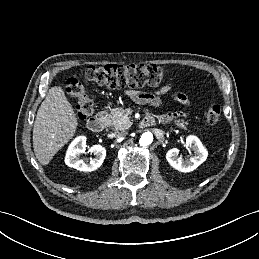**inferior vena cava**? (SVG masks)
<instances>
[{
  "label": "inferior vena cava",
  "mask_w": 259,
  "mask_h": 259,
  "mask_svg": "<svg viewBox=\"0 0 259 259\" xmlns=\"http://www.w3.org/2000/svg\"><path fill=\"white\" fill-rule=\"evenodd\" d=\"M127 134H128V132L125 131L124 129H119L114 132V136L116 138H123V137L127 136Z\"/></svg>",
  "instance_id": "inferior-vena-cava-1"
}]
</instances>
